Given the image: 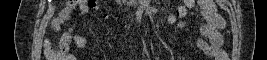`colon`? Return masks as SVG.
I'll return each instance as SVG.
<instances>
[{
    "label": "colon",
    "instance_id": "5ec220e1",
    "mask_svg": "<svg viewBox=\"0 0 267 60\" xmlns=\"http://www.w3.org/2000/svg\"><path fill=\"white\" fill-rule=\"evenodd\" d=\"M76 2L79 3L82 6V8L86 11H90L92 9L97 8L96 0H84V1H76ZM180 3H181V6L177 10L178 14L182 11V8L185 7L189 2L188 0H183ZM44 53H45L46 58L49 60H56L60 56L58 49L49 42H46L45 44Z\"/></svg>",
    "mask_w": 267,
    "mask_h": 60
}]
</instances>
